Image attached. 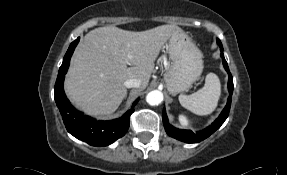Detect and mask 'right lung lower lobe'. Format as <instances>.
Instances as JSON below:
<instances>
[{"instance_id":"1","label":"right lung lower lobe","mask_w":287,"mask_h":175,"mask_svg":"<svg viewBox=\"0 0 287 175\" xmlns=\"http://www.w3.org/2000/svg\"><path fill=\"white\" fill-rule=\"evenodd\" d=\"M79 39L77 38L70 44L64 56L63 63L59 68L54 89L55 101L62 115L65 127L70 134L93 146H107L124 136L127 132L130 124V116L134 112V106L139 99L133 103L132 107L122 117L111 121H98L77 111L65 95L63 81L70 58Z\"/></svg>"}]
</instances>
